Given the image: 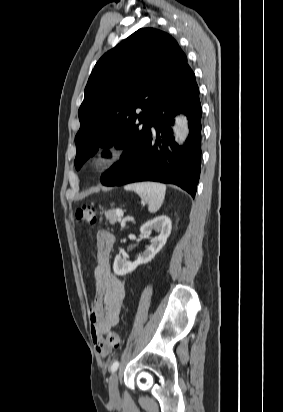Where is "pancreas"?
Listing matches in <instances>:
<instances>
[{
	"instance_id": "cf45deb5",
	"label": "pancreas",
	"mask_w": 283,
	"mask_h": 412,
	"mask_svg": "<svg viewBox=\"0 0 283 412\" xmlns=\"http://www.w3.org/2000/svg\"><path fill=\"white\" fill-rule=\"evenodd\" d=\"M106 219L110 222L111 225H115L117 222L121 221V218L117 216L115 210H110L105 213Z\"/></svg>"
}]
</instances>
